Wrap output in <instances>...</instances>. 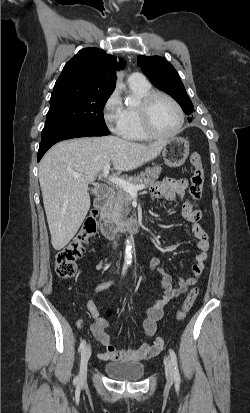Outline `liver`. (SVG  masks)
Instances as JSON below:
<instances>
[{
  "instance_id": "obj_1",
  "label": "liver",
  "mask_w": 250,
  "mask_h": 413,
  "mask_svg": "<svg viewBox=\"0 0 250 413\" xmlns=\"http://www.w3.org/2000/svg\"><path fill=\"white\" fill-rule=\"evenodd\" d=\"M166 141L148 145L117 136L66 140L53 146L39 164V182L55 250L77 233L90 208L88 184L106 164L119 172L134 170L155 159Z\"/></svg>"
}]
</instances>
